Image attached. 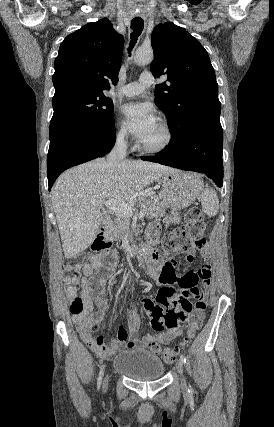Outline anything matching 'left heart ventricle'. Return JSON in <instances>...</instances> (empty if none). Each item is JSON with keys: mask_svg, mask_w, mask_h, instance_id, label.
I'll return each instance as SVG.
<instances>
[{"mask_svg": "<svg viewBox=\"0 0 274 427\" xmlns=\"http://www.w3.org/2000/svg\"><path fill=\"white\" fill-rule=\"evenodd\" d=\"M166 140V132L162 125L156 120L148 134L139 141L148 147L156 148L161 146Z\"/></svg>", "mask_w": 274, "mask_h": 427, "instance_id": "obj_1", "label": "left heart ventricle"}]
</instances>
